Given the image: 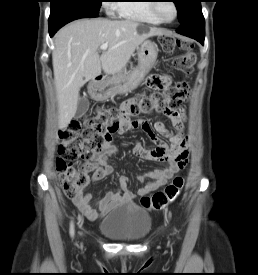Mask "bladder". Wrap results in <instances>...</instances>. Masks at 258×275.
<instances>
[{
    "label": "bladder",
    "instance_id": "bladder-1",
    "mask_svg": "<svg viewBox=\"0 0 258 275\" xmlns=\"http://www.w3.org/2000/svg\"><path fill=\"white\" fill-rule=\"evenodd\" d=\"M151 215L136 204L127 203L112 209L99 224V231L114 241L138 242L151 229Z\"/></svg>",
    "mask_w": 258,
    "mask_h": 275
}]
</instances>
